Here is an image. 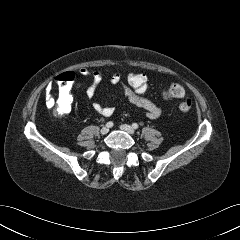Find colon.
Wrapping results in <instances>:
<instances>
[{"instance_id":"obj_1","label":"colon","mask_w":240,"mask_h":240,"mask_svg":"<svg viewBox=\"0 0 240 240\" xmlns=\"http://www.w3.org/2000/svg\"><path fill=\"white\" fill-rule=\"evenodd\" d=\"M74 75L70 72L63 73L57 78L58 93L52 105L58 115H64L71 109L70 86ZM127 86L136 94L145 96L150 87L146 74L138 70H132L125 76ZM162 97L166 100L177 99L181 111H189L193 106L192 99L185 97L184 88L179 83H170L162 90Z\"/></svg>"}]
</instances>
